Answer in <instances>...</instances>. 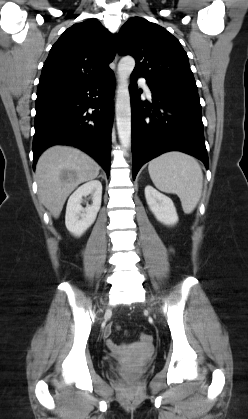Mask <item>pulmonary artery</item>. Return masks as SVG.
<instances>
[{
    "label": "pulmonary artery",
    "mask_w": 248,
    "mask_h": 419,
    "mask_svg": "<svg viewBox=\"0 0 248 419\" xmlns=\"http://www.w3.org/2000/svg\"><path fill=\"white\" fill-rule=\"evenodd\" d=\"M139 82H140V84L143 86V88L145 89V91H146L149 95H151V90H150V87H149L148 82L146 81V79H144V78H140V79H139Z\"/></svg>",
    "instance_id": "1"
}]
</instances>
